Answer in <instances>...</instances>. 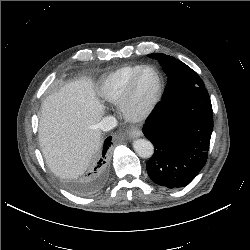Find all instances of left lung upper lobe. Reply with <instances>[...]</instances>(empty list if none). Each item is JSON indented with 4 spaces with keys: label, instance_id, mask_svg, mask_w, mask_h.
Masks as SVG:
<instances>
[{
    "label": "left lung upper lobe",
    "instance_id": "obj_1",
    "mask_svg": "<svg viewBox=\"0 0 250 250\" xmlns=\"http://www.w3.org/2000/svg\"><path fill=\"white\" fill-rule=\"evenodd\" d=\"M149 57L158 60L168 77L162 100L197 88H204L199 75L183 62L162 53L149 54Z\"/></svg>",
    "mask_w": 250,
    "mask_h": 250
}]
</instances>
